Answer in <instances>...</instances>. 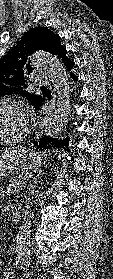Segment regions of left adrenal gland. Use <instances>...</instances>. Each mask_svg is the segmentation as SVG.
<instances>
[{"label":"left adrenal gland","mask_w":113,"mask_h":279,"mask_svg":"<svg viewBox=\"0 0 113 279\" xmlns=\"http://www.w3.org/2000/svg\"><path fill=\"white\" fill-rule=\"evenodd\" d=\"M37 179H38V176L37 178H34V183L33 185L31 186V188L34 190L35 189V185L37 184Z\"/></svg>","instance_id":"a2214340"}]
</instances>
